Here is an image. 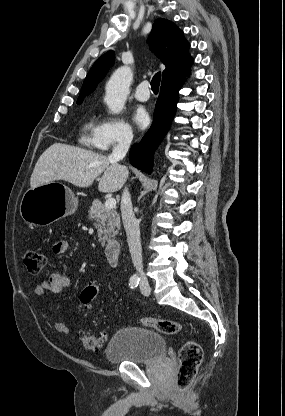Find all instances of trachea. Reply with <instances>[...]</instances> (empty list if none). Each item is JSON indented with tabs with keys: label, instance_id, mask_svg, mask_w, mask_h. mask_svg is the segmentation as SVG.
Segmentation results:
<instances>
[{
	"label": "trachea",
	"instance_id": "obj_1",
	"mask_svg": "<svg viewBox=\"0 0 285 416\" xmlns=\"http://www.w3.org/2000/svg\"><path fill=\"white\" fill-rule=\"evenodd\" d=\"M161 80V72L156 73L151 80V89L153 92H158Z\"/></svg>",
	"mask_w": 285,
	"mask_h": 416
}]
</instances>
